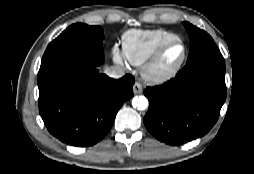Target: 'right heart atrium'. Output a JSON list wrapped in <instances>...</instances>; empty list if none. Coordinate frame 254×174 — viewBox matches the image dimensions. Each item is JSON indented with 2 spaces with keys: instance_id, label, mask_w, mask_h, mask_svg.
Masks as SVG:
<instances>
[{
  "instance_id": "1",
  "label": "right heart atrium",
  "mask_w": 254,
  "mask_h": 174,
  "mask_svg": "<svg viewBox=\"0 0 254 174\" xmlns=\"http://www.w3.org/2000/svg\"><path fill=\"white\" fill-rule=\"evenodd\" d=\"M111 56L112 59L119 64H123L125 62V56L123 54V51L117 46L113 45L111 48Z\"/></svg>"
}]
</instances>
